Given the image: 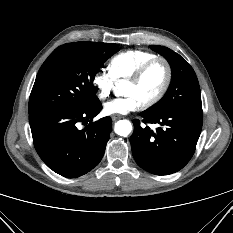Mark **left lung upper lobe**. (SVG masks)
<instances>
[{
	"instance_id": "obj_1",
	"label": "left lung upper lobe",
	"mask_w": 233,
	"mask_h": 233,
	"mask_svg": "<svg viewBox=\"0 0 233 233\" xmlns=\"http://www.w3.org/2000/svg\"><path fill=\"white\" fill-rule=\"evenodd\" d=\"M150 48L167 59L172 69V79L166 95L146 112L159 115L177 108L202 109L198 79L189 63L167 47L150 45Z\"/></svg>"
}]
</instances>
